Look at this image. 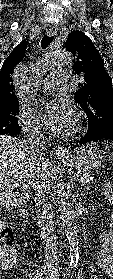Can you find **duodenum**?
<instances>
[{
    "label": "duodenum",
    "mask_w": 113,
    "mask_h": 279,
    "mask_svg": "<svg viewBox=\"0 0 113 279\" xmlns=\"http://www.w3.org/2000/svg\"><path fill=\"white\" fill-rule=\"evenodd\" d=\"M20 216H21V219H22L23 223L27 224L28 223V218H29V212L26 208L21 209Z\"/></svg>",
    "instance_id": "410a0bca"
}]
</instances>
